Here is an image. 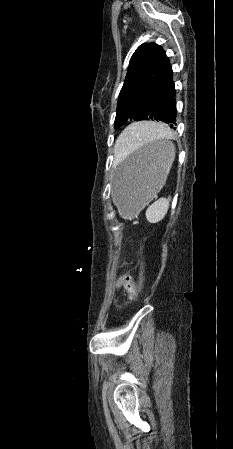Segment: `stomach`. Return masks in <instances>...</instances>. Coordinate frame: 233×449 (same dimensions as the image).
I'll return each mask as SVG.
<instances>
[{"mask_svg": "<svg viewBox=\"0 0 233 449\" xmlns=\"http://www.w3.org/2000/svg\"><path fill=\"white\" fill-rule=\"evenodd\" d=\"M174 157L170 141L152 142L124 161L114 178L119 214L131 219L160 191Z\"/></svg>", "mask_w": 233, "mask_h": 449, "instance_id": "0dacf381", "label": "stomach"}]
</instances>
